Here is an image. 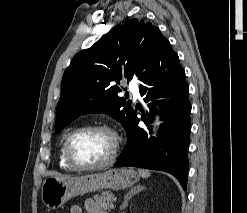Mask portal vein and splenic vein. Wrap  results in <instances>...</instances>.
Wrapping results in <instances>:
<instances>
[{"mask_svg":"<svg viewBox=\"0 0 247 213\" xmlns=\"http://www.w3.org/2000/svg\"><path fill=\"white\" fill-rule=\"evenodd\" d=\"M110 208H111V209H113V208H114V204H113V202H111V204H110Z\"/></svg>","mask_w":247,"mask_h":213,"instance_id":"1","label":"portal vein and splenic vein"}]
</instances>
